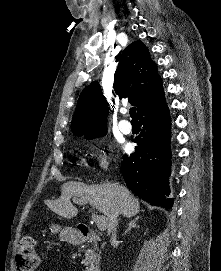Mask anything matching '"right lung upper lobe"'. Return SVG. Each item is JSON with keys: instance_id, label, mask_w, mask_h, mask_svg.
<instances>
[{"instance_id": "right-lung-upper-lobe-1", "label": "right lung upper lobe", "mask_w": 221, "mask_h": 271, "mask_svg": "<svg viewBox=\"0 0 221 271\" xmlns=\"http://www.w3.org/2000/svg\"><path fill=\"white\" fill-rule=\"evenodd\" d=\"M114 90L137 106L139 117L164 101L162 80L147 47L134 41L124 49L114 76ZM108 107L100 86L93 82L81 93L73 116L71 130L75 135L106 131Z\"/></svg>"}]
</instances>
